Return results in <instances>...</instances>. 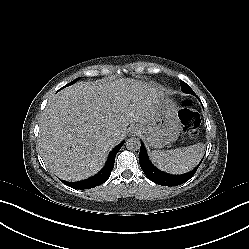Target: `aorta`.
Instances as JSON below:
<instances>
[{"label": "aorta", "mask_w": 249, "mask_h": 249, "mask_svg": "<svg viewBox=\"0 0 249 249\" xmlns=\"http://www.w3.org/2000/svg\"><path fill=\"white\" fill-rule=\"evenodd\" d=\"M126 148L131 151L140 149V140L135 137H131L125 142Z\"/></svg>", "instance_id": "obj_1"}]
</instances>
